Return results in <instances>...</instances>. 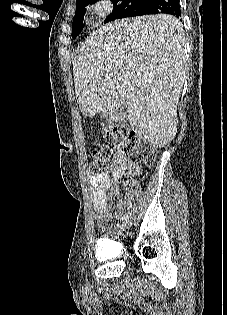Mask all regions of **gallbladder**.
Returning <instances> with one entry per match:
<instances>
[{
	"instance_id": "obj_1",
	"label": "gallbladder",
	"mask_w": 227,
	"mask_h": 315,
	"mask_svg": "<svg viewBox=\"0 0 227 315\" xmlns=\"http://www.w3.org/2000/svg\"><path fill=\"white\" fill-rule=\"evenodd\" d=\"M120 113H121V116H122V117H125V116H126V111H125V108H124V107L120 110Z\"/></svg>"
}]
</instances>
